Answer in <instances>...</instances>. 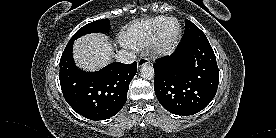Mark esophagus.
I'll list each match as a JSON object with an SVG mask.
<instances>
[{
  "instance_id": "esophagus-1",
  "label": "esophagus",
  "mask_w": 276,
  "mask_h": 138,
  "mask_svg": "<svg viewBox=\"0 0 276 138\" xmlns=\"http://www.w3.org/2000/svg\"><path fill=\"white\" fill-rule=\"evenodd\" d=\"M150 63V60L148 57L146 56H142L138 59L137 61V67L140 68L142 67L143 65H146V64H149Z\"/></svg>"
}]
</instances>
